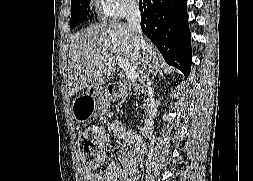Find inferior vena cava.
Wrapping results in <instances>:
<instances>
[{
    "label": "inferior vena cava",
    "instance_id": "obj_1",
    "mask_svg": "<svg viewBox=\"0 0 253 181\" xmlns=\"http://www.w3.org/2000/svg\"><path fill=\"white\" fill-rule=\"evenodd\" d=\"M126 19H127L128 25L132 28V30L135 33V39L137 43L141 46V49L143 51L144 61L146 63H149L151 59L147 52L146 41L141 30V26H140L141 14H140V10L137 3L131 2L127 6ZM145 87H147L149 94H152V88H151V83L149 82V78L147 79V84L145 85ZM151 109L153 111V114H155L156 104L152 99H151Z\"/></svg>",
    "mask_w": 253,
    "mask_h": 181
}]
</instances>
